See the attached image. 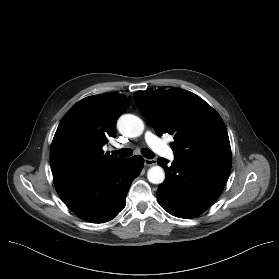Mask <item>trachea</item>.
Listing matches in <instances>:
<instances>
[{
	"label": "trachea",
	"mask_w": 279,
	"mask_h": 279,
	"mask_svg": "<svg viewBox=\"0 0 279 279\" xmlns=\"http://www.w3.org/2000/svg\"><path fill=\"white\" fill-rule=\"evenodd\" d=\"M120 157H130L133 154V151L129 148L121 149L116 152ZM142 155L147 159H152L154 157L153 152L148 149L144 148L141 150Z\"/></svg>",
	"instance_id": "1"
}]
</instances>
